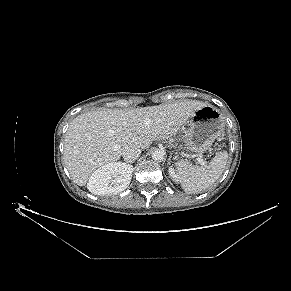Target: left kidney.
Returning <instances> with one entry per match:
<instances>
[{
	"instance_id": "1",
	"label": "left kidney",
	"mask_w": 291,
	"mask_h": 291,
	"mask_svg": "<svg viewBox=\"0 0 291 291\" xmlns=\"http://www.w3.org/2000/svg\"><path fill=\"white\" fill-rule=\"evenodd\" d=\"M168 173H169V176H170L174 181H176V182L179 181V179H178V175L176 174V172H175V170H174V168H173L172 166L168 168Z\"/></svg>"
}]
</instances>
